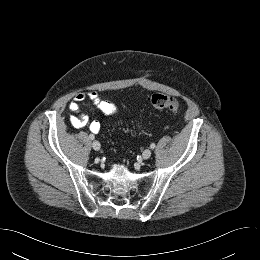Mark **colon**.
Segmentation results:
<instances>
[{
	"label": "colon",
	"instance_id": "colon-1",
	"mask_svg": "<svg viewBox=\"0 0 260 260\" xmlns=\"http://www.w3.org/2000/svg\"><path fill=\"white\" fill-rule=\"evenodd\" d=\"M150 102L156 110L176 112L180 108V103L177 99L161 93L153 94L150 98Z\"/></svg>",
	"mask_w": 260,
	"mask_h": 260
}]
</instances>
